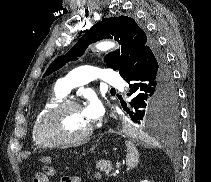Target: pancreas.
Instances as JSON below:
<instances>
[{"mask_svg": "<svg viewBox=\"0 0 211 182\" xmlns=\"http://www.w3.org/2000/svg\"><path fill=\"white\" fill-rule=\"evenodd\" d=\"M96 167L100 169L101 172L105 173L106 175H110L112 171V166L108 161H98Z\"/></svg>", "mask_w": 211, "mask_h": 182, "instance_id": "pancreas-1", "label": "pancreas"}]
</instances>
